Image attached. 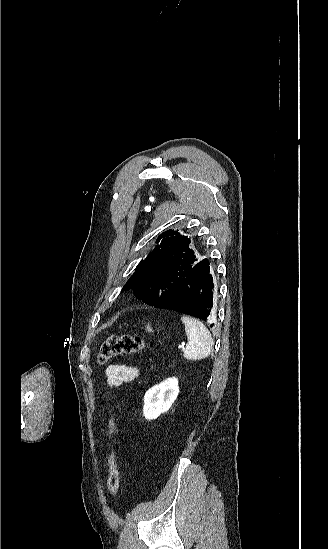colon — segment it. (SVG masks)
Returning a JSON list of instances; mask_svg holds the SVG:
<instances>
[{"instance_id": "colon-1", "label": "colon", "mask_w": 328, "mask_h": 549, "mask_svg": "<svg viewBox=\"0 0 328 549\" xmlns=\"http://www.w3.org/2000/svg\"><path fill=\"white\" fill-rule=\"evenodd\" d=\"M147 346V342L141 337L131 336L128 334L111 335L101 345L97 360L100 364H104L115 356L130 355L144 351ZM116 430L117 418L112 417L109 421L110 444L109 453L107 456L109 471L107 485L108 490L113 497L118 494L120 488V474L114 450V436Z\"/></svg>"}]
</instances>
